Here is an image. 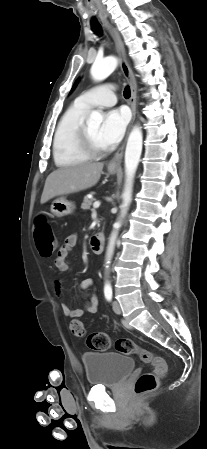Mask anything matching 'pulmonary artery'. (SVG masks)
Listing matches in <instances>:
<instances>
[{"label":"pulmonary artery","instance_id":"pulmonary-artery-1","mask_svg":"<svg viewBox=\"0 0 207 449\" xmlns=\"http://www.w3.org/2000/svg\"><path fill=\"white\" fill-rule=\"evenodd\" d=\"M115 89L116 87L109 83L98 85L78 96L75 103L86 108L113 106L117 101Z\"/></svg>","mask_w":207,"mask_h":449}]
</instances>
